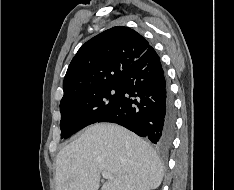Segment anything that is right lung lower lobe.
Listing matches in <instances>:
<instances>
[{"instance_id":"1","label":"right lung lower lobe","mask_w":234,"mask_h":190,"mask_svg":"<svg viewBox=\"0 0 234 190\" xmlns=\"http://www.w3.org/2000/svg\"><path fill=\"white\" fill-rule=\"evenodd\" d=\"M117 103L98 122H112L148 138L161 149L170 147L174 130L173 103L159 56L150 47L124 72Z\"/></svg>"}]
</instances>
